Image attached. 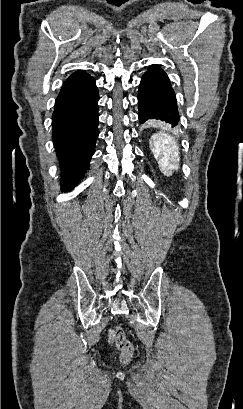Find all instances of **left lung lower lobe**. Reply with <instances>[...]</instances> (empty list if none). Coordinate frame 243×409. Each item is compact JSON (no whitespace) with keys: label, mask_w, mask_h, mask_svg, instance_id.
Listing matches in <instances>:
<instances>
[{"label":"left lung lower lobe","mask_w":243,"mask_h":409,"mask_svg":"<svg viewBox=\"0 0 243 409\" xmlns=\"http://www.w3.org/2000/svg\"><path fill=\"white\" fill-rule=\"evenodd\" d=\"M139 121L157 119L176 126L179 122L176 97L167 74L153 65L142 77L138 92Z\"/></svg>","instance_id":"1"}]
</instances>
